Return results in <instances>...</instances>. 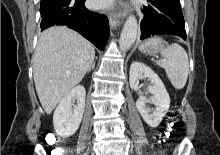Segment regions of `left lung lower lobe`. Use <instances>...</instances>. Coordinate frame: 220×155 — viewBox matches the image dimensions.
Here are the masks:
<instances>
[{
    "label": "left lung lower lobe",
    "instance_id": "0a47b994",
    "mask_svg": "<svg viewBox=\"0 0 220 155\" xmlns=\"http://www.w3.org/2000/svg\"><path fill=\"white\" fill-rule=\"evenodd\" d=\"M141 21V37L176 35L186 39L184 18L179 0H148Z\"/></svg>",
    "mask_w": 220,
    "mask_h": 155
}]
</instances>
